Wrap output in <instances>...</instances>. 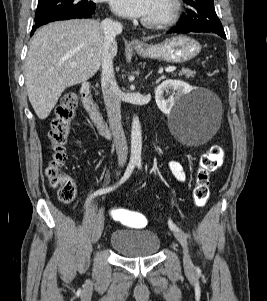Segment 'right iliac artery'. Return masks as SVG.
I'll return each instance as SVG.
<instances>
[{"mask_svg":"<svg viewBox=\"0 0 267 301\" xmlns=\"http://www.w3.org/2000/svg\"><path fill=\"white\" fill-rule=\"evenodd\" d=\"M136 162H130L127 166V169L123 175V177L120 179V181L118 182L117 185L112 186V187H108V188H102L99 189L98 191H96L93 196H97V195H102V194H106L111 192L112 190H114L116 187H118L119 185H121L122 183H124L132 174L134 168H135ZM92 197V196H91Z\"/></svg>","mask_w":267,"mask_h":301,"instance_id":"1","label":"right iliac artery"}]
</instances>
